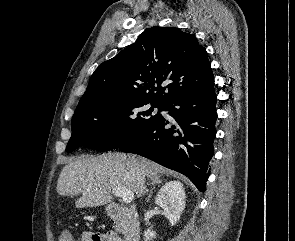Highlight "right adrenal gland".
Segmentation results:
<instances>
[{
  "label": "right adrenal gland",
  "mask_w": 295,
  "mask_h": 241,
  "mask_svg": "<svg viewBox=\"0 0 295 241\" xmlns=\"http://www.w3.org/2000/svg\"><path fill=\"white\" fill-rule=\"evenodd\" d=\"M151 181H152L151 182V185H153V187H152V189L150 190V192L148 194V198H147L146 202H149V200H150V198L152 196L153 190L155 188V185L156 184H160L162 182L161 179H160V176H154V177H152Z\"/></svg>",
  "instance_id": "obj_1"
}]
</instances>
